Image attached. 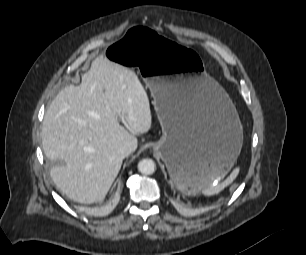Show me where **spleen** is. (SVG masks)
Instances as JSON below:
<instances>
[{"label": "spleen", "mask_w": 306, "mask_h": 255, "mask_svg": "<svg viewBox=\"0 0 306 255\" xmlns=\"http://www.w3.org/2000/svg\"><path fill=\"white\" fill-rule=\"evenodd\" d=\"M238 172H239V168H235L225 181H223L217 186H208L206 188H203L202 193L206 196H210V195L219 193L221 190H223L227 185H229L236 178Z\"/></svg>", "instance_id": "spleen-1"}]
</instances>
